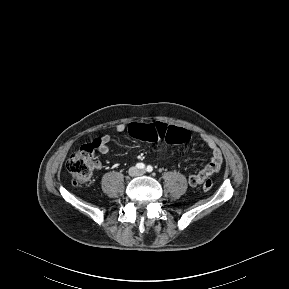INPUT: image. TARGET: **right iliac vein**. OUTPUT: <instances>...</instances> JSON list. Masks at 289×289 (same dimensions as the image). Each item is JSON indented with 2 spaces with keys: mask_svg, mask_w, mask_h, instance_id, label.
<instances>
[{
  "mask_svg": "<svg viewBox=\"0 0 289 289\" xmlns=\"http://www.w3.org/2000/svg\"><path fill=\"white\" fill-rule=\"evenodd\" d=\"M136 169L135 168H131L130 170H129V174L130 175H132V176H134L135 174H136Z\"/></svg>",
  "mask_w": 289,
  "mask_h": 289,
  "instance_id": "right-iliac-vein-1",
  "label": "right iliac vein"
}]
</instances>
